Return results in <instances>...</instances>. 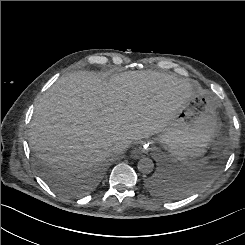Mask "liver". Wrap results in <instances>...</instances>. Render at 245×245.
Listing matches in <instances>:
<instances>
[{"label":"liver","instance_id":"obj_1","mask_svg":"<svg viewBox=\"0 0 245 245\" xmlns=\"http://www.w3.org/2000/svg\"><path fill=\"white\" fill-rule=\"evenodd\" d=\"M196 84L153 71H128L105 81L78 71L60 78L42 95L29 140L48 165L78 171L100 164L120 142L162 132Z\"/></svg>","mask_w":245,"mask_h":245}]
</instances>
